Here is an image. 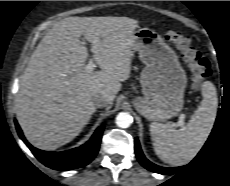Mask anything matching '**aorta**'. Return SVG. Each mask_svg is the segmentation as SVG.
<instances>
[{"mask_svg": "<svg viewBox=\"0 0 230 186\" xmlns=\"http://www.w3.org/2000/svg\"><path fill=\"white\" fill-rule=\"evenodd\" d=\"M132 122L133 118L127 112H121L116 116V125L120 128H128Z\"/></svg>", "mask_w": 230, "mask_h": 186, "instance_id": "762f6f07", "label": "aorta"}]
</instances>
